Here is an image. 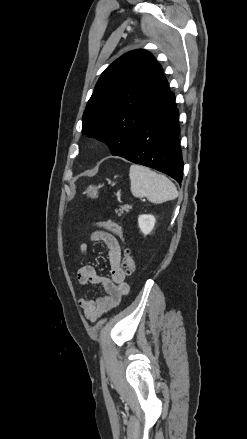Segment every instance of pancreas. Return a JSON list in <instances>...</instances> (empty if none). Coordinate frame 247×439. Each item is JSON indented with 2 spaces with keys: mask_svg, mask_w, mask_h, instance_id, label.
Here are the masks:
<instances>
[{
  "mask_svg": "<svg viewBox=\"0 0 247 439\" xmlns=\"http://www.w3.org/2000/svg\"><path fill=\"white\" fill-rule=\"evenodd\" d=\"M132 209L131 205H124V206H120L119 211H117L118 216H121V214L124 213V211L129 212Z\"/></svg>",
  "mask_w": 247,
  "mask_h": 439,
  "instance_id": "cf45deb5",
  "label": "pancreas"
}]
</instances>
